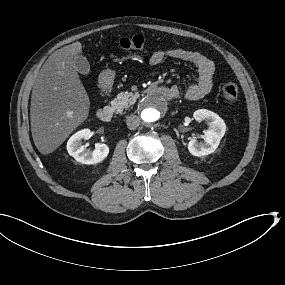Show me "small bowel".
<instances>
[{
    "label": "small bowel",
    "mask_w": 285,
    "mask_h": 285,
    "mask_svg": "<svg viewBox=\"0 0 285 285\" xmlns=\"http://www.w3.org/2000/svg\"><path fill=\"white\" fill-rule=\"evenodd\" d=\"M166 58L186 62L195 69L197 79L188 85L184 91V95L187 99L197 101L211 92L214 74V63L212 60L197 51L176 48L154 51L149 58V62L152 66H156L162 63ZM171 88L177 93V96L181 94V90L178 86L174 85Z\"/></svg>",
    "instance_id": "1"
}]
</instances>
